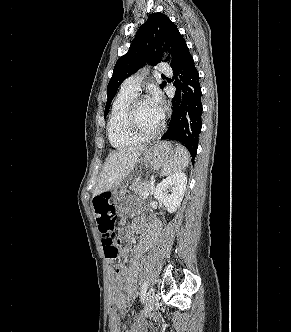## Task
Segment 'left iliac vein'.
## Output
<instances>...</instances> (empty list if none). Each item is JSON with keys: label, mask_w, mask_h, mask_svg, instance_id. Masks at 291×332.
Listing matches in <instances>:
<instances>
[{"label": "left iliac vein", "mask_w": 291, "mask_h": 332, "mask_svg": "<svg viewBox=\"0 0 291 332\" xmlns=\"http://www.w3.org/2000/svg\"><path fill=\"white\" fill-rule=\"evenodd\" d=\"M155 299H156L155 290L153 288H150L146 296V304L144 310L145 316L149 314L151 310L154 308Z\"/></svg>", "instance_id": "1"}]
</instances>
